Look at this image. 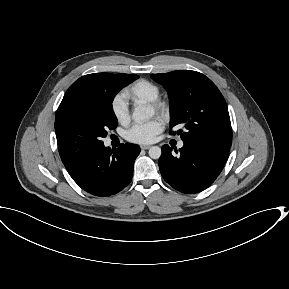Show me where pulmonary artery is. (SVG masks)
I'll list each match as a JSON object with an SVG mask.
<instances>
[{
	"label": "pulmonary artery",
	"instance_id": "obj_1",
	"mask_svg": "<svg viewBox=\"0 0 289 289\" xmlns=\"http://www.w3.org/2000/svg\"><path fill=\"white\" fill-rule=\"evenodd\" d=\"M183 145H184L183 142H179L178 147H179V148H182Z\"/></svg>",
	"mask_w": 289,
	"mask_h": 289
}]
</instances>
